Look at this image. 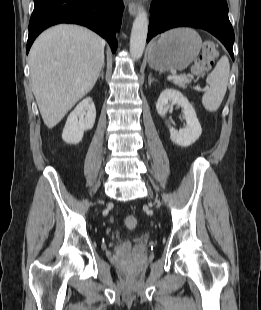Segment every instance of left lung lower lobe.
<instances>
[{
	"label": "left lung lower lobe",
	"instance_id": "1",
	"mask_svg": "<svg viewBox=\"0 0 261 310\" xmlns=\"http://www.w3.org/2000/svg\"><path fill=\"white\" fill-rule=\"evenodd\" d=\"M189 26L209 31L234 60V31L226 0H154L150 8L147 42L168 29Z\"/></svg>",
	"mask_w": 261,
	"mask_h": 310
}]
</instances>
